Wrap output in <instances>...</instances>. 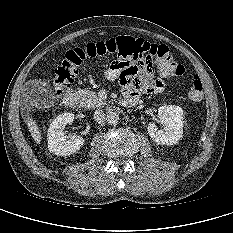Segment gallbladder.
I'll use <instances>...</instances> for the list:
<instances>
[{"label":"gallbladder","instance_id":"obj_1","mask_svg":"<svg viewBox=\"0 0 233 233\" xmlns=\"http://www.w3.org/2000/svg\"><path fill=\"white\" fill-rule=\"evenodd\" d=\"M34 96L41 99L44 103H50L54 97L51 86L42 80H33L28 84Z\"/></svg>","mask_w":233,"mask_h":233}]
</instances>
